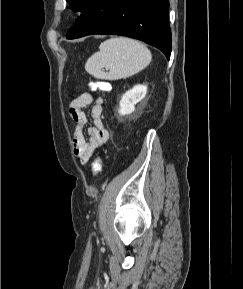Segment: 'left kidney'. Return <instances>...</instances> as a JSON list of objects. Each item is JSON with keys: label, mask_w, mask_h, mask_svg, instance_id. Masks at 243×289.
I'll return each instance as SVG.
<instances>
[{"label": "left kidney", "mask_w": 243, "mask_h": 289, "mask_svg": "<svg viewBox=\"0 0 243 289\" xmlns=\"http://www.w3.org/2000/svg\"><path fill=\"white\" fill-rule=\"evenodd\" d=\"M146 93V85H135L123 94L119 103L118 113L120 115L131 114L135 110V105L145 97Z\"/></svg>", "instance_id": "1"}]
</instances>
